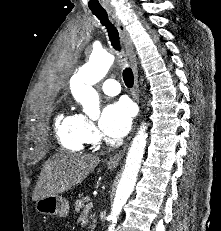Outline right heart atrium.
I'll return each instance as SVG.
<instances>
[{"label": "right heart atrium", "mask_w": 221, "mask_h": 231, "mask_svg": "<svg viewBox=\"0 0 221 231\" xmlns=\"http://www.w3.org/2000/svg\"><path fill=\"white\" fill-rule=\"evenodd\" d=\"M83 117L84 137L86 142H94L97 139V131L91 121Z\"/></svg>", "instance_id": "right-heart-atrium-1"}]
</instances>
